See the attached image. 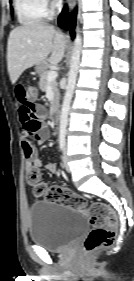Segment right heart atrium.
I'll return each instance as SVG.
<instances>
[{
  "mask_svg": "<svg viewBox=\"0 0 134 281\" xmlns=\"http://www.w3.org/2000/svg\"><path fill=\"white\" fill-rule=\"evenodd\" d=\"M45 3L49 8L53 9L58 6L59 0H45Z\"/></svg>",
  "mask_w": 134,
  "mask_h": 281,
  "instance_id": "d8ad5b80",
  "label": "right heart atrium"
}]
</instances>
